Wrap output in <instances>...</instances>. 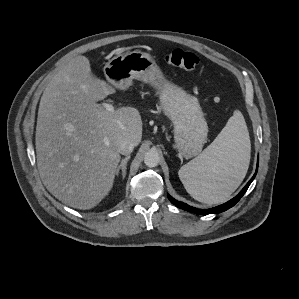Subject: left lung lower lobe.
<instances>
[{"label":"left lung lower lobe","instance_id":"obj_1","mask_svg":"<svg viewBox=\"0 0 299 299\" xmlns=\"http://www.w3.org/2000/svg\"><path fill=\"white\" fill-rule=\"evenodd\" d=\"M255 176H256V173L253 175V177L249 180V182L246 184V186L241 190V192L236 197H234L233 199H231L230 201H228L222 205H219V206L211 208V209H197V208L191 207L183 202L175 200L170 195H168V198L178 208L192 212V213H196V214H200V215H207V214H211V213H220V212L226 211L227 209L233 207L240 200V198L247 191L249 185L251 184V182L253 181Z\"/></svg>","mask_w":299,"mask_h":299}]
</instances>
